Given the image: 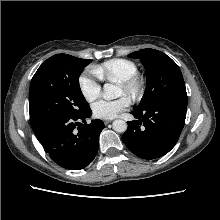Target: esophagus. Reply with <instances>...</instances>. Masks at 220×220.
Returning <instances> with one entry per match:
<instances>
[{"instance_id": "obj_1", "label": "esophagus", "mask_w": 220, "mask_h": 220, "mask_svg": "<svg viewBox=\"0 0 220 220\" xmlns=\"http://www.w3.org/2000/svg\"><path fill=\"white\" fill-rule=\"evenodd\" d=\"M103 122H104L105 125H107L111 122V120H104Z\"/></svg>"}]
</instances>
